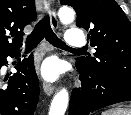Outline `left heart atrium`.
<instances>
[{
    "mask_svg": "<svg viewBox=\"0 0 131 115\" xmlns=\"http://www.w3.org/2000/svg\"><path fill=\"white\" fill-rule=\"evenodd\" d=\"M43 75L48 79H55L58 76V68L54 62H47L43 67Z\"/></svg>",
    "mask_w": 131,
    "mask_h": 115,
    "instance_id": "left-heart-atrium-1",
    "label": "left heart atrium"
}]
</instances>
